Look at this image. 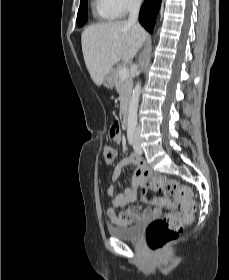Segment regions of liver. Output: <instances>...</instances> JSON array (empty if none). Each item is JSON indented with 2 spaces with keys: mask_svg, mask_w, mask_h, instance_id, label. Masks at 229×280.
Segmentation results:
<instances>
[{
  "mask_svg": "<svg viewBox=\"0 0 229 280\" xmlns=\"http://www.w3.org/2000/svg\"><path fill=\"white\" fill-rule=\"evenodd\" d=\"M146 31L127 21L104 22L87 27L81 35L82 52L93 82L100 86L120 60L129 62L146 38Z\"/></svg>",
  "mask_w": 229,
  "mask_h": 280,
  "instance_id": "liver-1",
  "label": "liver"
}]
</instances>
